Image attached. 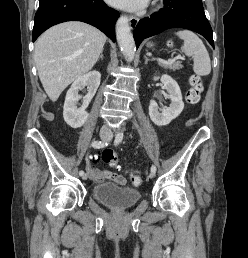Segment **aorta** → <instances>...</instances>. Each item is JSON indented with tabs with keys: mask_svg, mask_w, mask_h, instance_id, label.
I'll use <instances>...</instances> for the list:
<instances>
[{
	"mask_svg": "<svg viewBox=\"0 0 248 258\" xmlns=\"http://www.w3.org/2000/svg\"><path fill=\"white\" fill-rule=\"evenodd\" d=\"M116 36L119 47L128 61H132L135 56V42L129 20L126 16H121L116 23Z\"/></svg>",
	"mask_w": 248,
	"mask_h": 258,
	"instance_id": "1",
	"label": "aorta"
}]
</instances>
